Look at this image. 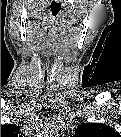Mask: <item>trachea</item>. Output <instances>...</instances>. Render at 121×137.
Wrapping results in <instances>:
<instances>
[{"label": "trachea", "instance_id": "1", "mask_svg": "<svg viewBox=\"0 0 121 137\" xmlns=\"http://www.w3.org/2000/svg\"><path fill=\"white\" fill-rule=\"evenodd\" d=\"M59 11H60V8L57 7V6H54V7L52 8V14H53V16H56V15L59 13ZM46 79H47V78H46V74H45L44 80H46Z\"/></svg>", "mask_w": 121, "mask_h": 137}]
</instances>
